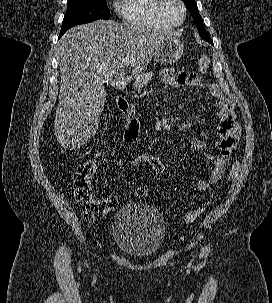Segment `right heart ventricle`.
<instances>
[{"label":"right heart ventricle","mask_w":272,"mask_h":303,"mask_svg":"<svg viewBox=\"0 0 272 303\" xmlns=\"http://www.w3.org/2000/svg\"><path fill=\"white\" fill-rule=\"evenodd\" d=\"M155 3L156 0H120V9L124 20L131 25L163 29L154 13Z\"/></svg>","instance_id":"obj_1"}]
</instances>
